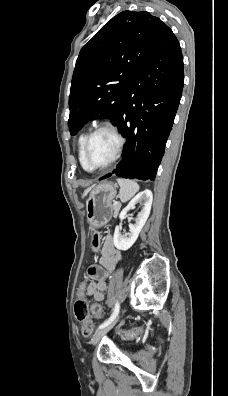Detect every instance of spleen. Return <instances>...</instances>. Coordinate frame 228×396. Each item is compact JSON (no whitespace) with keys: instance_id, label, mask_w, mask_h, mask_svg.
Instances as JSON below:
<instances>
[{"instance_id":"1","label":"spleen","mask_w":228,"mask_h":396,"mask_svg":"<svg viewBox=\"0 0 228 396\" xmlns=\"http://www.w3.org/2000/svg\"><path fill=\"white\" fill-rule=\"evenodd\" d=\"M116 181L120 186L119 198L121 202H127L139 191V185L135 181L123 178H117Z\"/></svg>"}]
</instances>
